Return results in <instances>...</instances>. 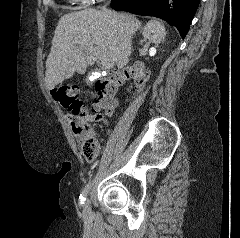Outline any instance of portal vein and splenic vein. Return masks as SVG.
Returning a JSON list of instances; mask_svg holds the SVG:
<instances>
[{
    "label": "portal vein and splenic vein",
    "mask_w": 240,
    "mask_h": 238,
    "mask_svg": "<svg viewBox=\"0 0 240 238\" xmlns=\"http://www.w3.org/2000/svg\"><path fill=\"white\" fill-rule=\"evenodd\" d=\"M90 51L94 52L105 68H111L114 64L110 62L99 50L92 48Z\"/></svg>",
    "instance_id": "1"
}]
</instances>
